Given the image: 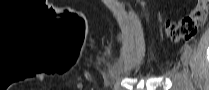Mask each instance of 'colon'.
Returning <instances> with one entry per match:
<instances>
[{
	"label": "colon",
	"mask_w": 209,
	"mask_h": 90,
	"mask_svg": "<svg viewBox=\"0 0 209 90\" xmlns=\"http://www.w3.org/2000/svg\"><path fill=\"white\" fill-rule=\"evenodd\" d=\"M167 38L173 42L191 39L207 20L209 0H199L193 10L179 21H164L155 13Z\"/></svg>",
	"instance_id": "1"
}]
</instances>
